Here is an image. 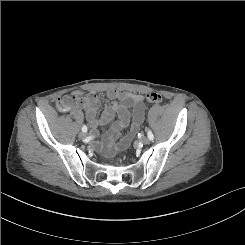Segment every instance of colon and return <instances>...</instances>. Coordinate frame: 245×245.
Wrapping results in <instances>:
<instances>
[{
    "mask_svg": "<svg viewBox=\"0 0 245 245\" xmlns=\"http://www.w3.org/2000/svg\"><path fill=\"white\" fill-rule=\"evenodd\" d=\"M145 101L149 103H160L162 102L163 98L159 93L151 92L145 95L144 97ZM84 102V96H82L80 93H74L70 96H65L59 99L58 101V108L61 111L68 110L72 107H77L82 105Z\"/></svg>",
    "mask_w": 245,
    "mask_h": 245,
    "instance_id": "5ec220e1",
    "label": "colon"
}]
</instances>
